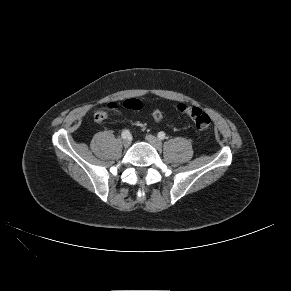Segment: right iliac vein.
I'll return each mask as SVG.
<instances>
[{"mask_svg": "<svg viewBox=\"0 0 291 291\" xmlns=\"http://www.w3.org/2000/svg\"><path fill=\"white\" fill-rule=\"evenodd\" d=\"M130 144H131V140H130V139H125V140H123V146H124V147H129Z\"/></svg>", "mask_w": 291, "mask_h": 291, "instance_id": "obj_1", "label": "right iliac vein"}]
</instances>
